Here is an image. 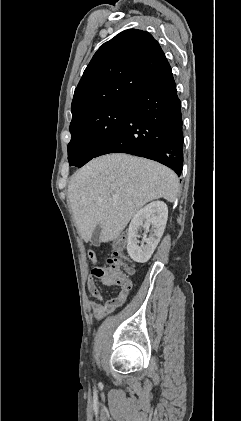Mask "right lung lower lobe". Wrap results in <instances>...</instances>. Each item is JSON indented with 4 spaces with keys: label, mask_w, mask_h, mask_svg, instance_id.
<instances>
[{
    "label": "right lung lower lobe",
    "mask_w": 241,
    "mask_h": 421,
    "mask_svg": "<svg viewBox=\"0 0 241 421\" xmlns=\"http://www.w3.org/2000/svg\"><path fill=\"white\" fill-rule=\"evenodd\" d=\"M108 153L152 159L180 176L183 121L169 63L129 99L122 124L95 157Z\"/></svg>",
    "instance_id": "98d812e1"
}]
</instances>
